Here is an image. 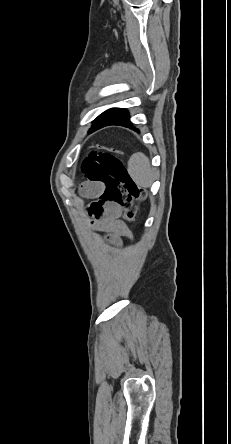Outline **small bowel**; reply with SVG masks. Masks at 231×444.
<instances>
[{
  "label": "small bowel",
  "mask_w": 231,
  "mask_h": 444,
  "mask_svg": "<svg viewBox=\"0 0 231 444\" xmlns=\"http://www.w3.org/2000/svg\"><path fill=\"white\" fill-rule=\"evenodd\" d=\"M102 191L100 183L88 182L83 185L82 192L85 196L98 198ZM99 199L92 203L95 204ZM122 209L119 205L111 202L103 203L102 213L99 215L98 228L104 232L111 233L114 237L129 236L130 232L120 220Z\"/></svg>",
  "instance_id": "c3829d8e"
}]
</instances>
